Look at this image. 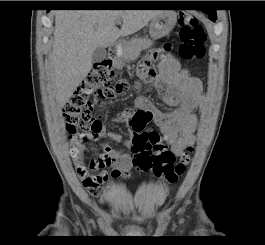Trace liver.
Segmentation results:
<instances>
[{
  "instance_id": "1",
  "label": "liver",
  "mask_w": 265,
  "mask_h": 245,
  "mask_svg": "<svg viewBox=\"0 0 265 245\" xmlns=\"http://www.w3.org/2000/svg\"><path fill=\"white\" fill-rule=\"evenodd\" d=\"M161 10H60L55 13V32L50 56L55 98L63 107L90 72L97 47L113 45L120 37L145 27ZM118 20L122 26L116 27Z\"/></svg>"
}]
</instances>
